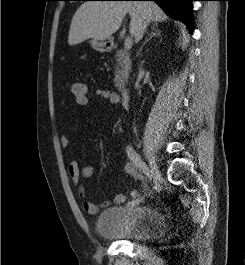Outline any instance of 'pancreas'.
<instances>
[{"label": "pancreas", "mask_w": 245, "mask_h": 265, "mask_svg": "<svg viewBox=\"0 0 245 265\" xmlns=\"http://www.w3.org/2000/svg\"><path fill=\"white\" fill-rule=\"evenodd\" d=\"M116 65H115V78L114 83L115 87L118 90H122L125 87V83L129 77V72L131 70V60L129 55L124 50H119L116 52Z\"/></svg>", "instance_id": "cf45deb5"}]
</instances>
